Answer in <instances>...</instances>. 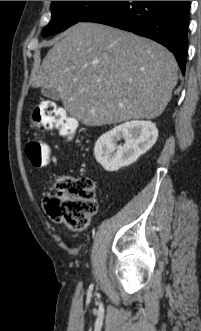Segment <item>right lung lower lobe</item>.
Here are the masks:
<instances>
[{
	"label": "right lung lower lobe",
	"instance_id": "1",
	"mask_svg": "<svg viewBox=\"0 0 201 331\" xmlns=\"http://www.w3.org/2000/svg\"><path fill=\"white\" fill-rule=\"evenodd\" d=\"M190 1H107L81 20L148 37L171 50L184 74Z\"/></svg>",
	"mask_w": 201,
	"mask_h": 331
}]
</instances>
